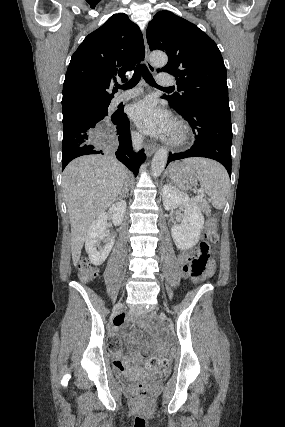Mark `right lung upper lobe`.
Returning a JSON list of instances; mask_svg holds the SVG:
<instances>
[{
	"instance_id": "1",
	"label": "right lung upper lobe",
	"mask_w": 285,
	"mask_h": 427,
	"mask_svg": "<svg viewBox=\"0 0 285 427\" xmlns=\"http://www.w3.org/2000/svg\"><path fill=\"white\" fill-rule=\"evenodd\" d=\"M144 52L139 27L126 14L112 15L71 57L63 84V116L110 102L117 91L113 84L126 79Z\"/></svg>"
}]
</instances>
